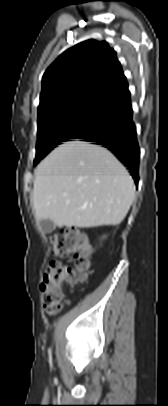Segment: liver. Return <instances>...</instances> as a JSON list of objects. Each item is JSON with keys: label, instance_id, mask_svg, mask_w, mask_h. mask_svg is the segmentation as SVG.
Wrapping results in <instances>:
<instances>
[{"label": "liver", "instance_id": "6515ba94", "mask_svg": "<svg viewBox=\"0 0 168 406\" xmlns=\"http://www.w3.org/2000/svg\"><path fill=\"white\" fill-rule=\"evenodd\" d=\"M134 195L133 179L116 157L85 141L61 144L36 168V219L58 227L118 225Z\"/></svg>", "mask_w": 168, "mask_h": 406}]
</instances>
